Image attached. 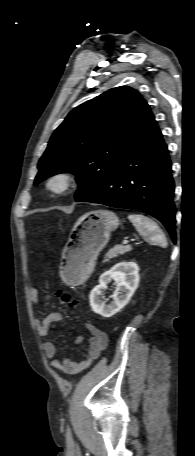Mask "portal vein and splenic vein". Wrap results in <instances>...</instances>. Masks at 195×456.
Returning <instances> with one entry per match:
<instances>
[{"instance_id":"portal-vein-and-splenic-vein-1","label":"portal vein and splenic vein","mask_w":195,"mask_h":456,"mask_svg":"<svg viewBox=\"0 0 195 456\" xmlns=\"http://www.w3.org/2000/svg\"><path fill=\"white\" fill-rule=\"evenodd\" d=\"M132 241H134V240H133V239H131V240H124V241L122 242V244H129V243L132 242Z\"/></svg>"}]
</instances>
